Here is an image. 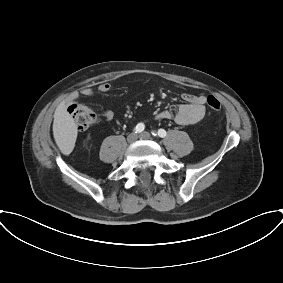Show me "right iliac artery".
<instances>
[{
	"label": "right iliac artery",
	"instance_id": "obj_1",
	"mask_svg": "<svg viewBox=\"0 0 283 283\" xmlns=\"http://www.w3.org/2000/svg\"><path fill=\"white\" fill-rule=\"evenodd\" d=\"M145 129V125L143 123H138L134 129L135 133H141Z\"/></svg>",
	"mask_w": 283,
	"mask_h": 283
}]
</instances>
